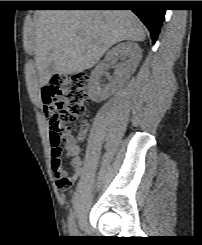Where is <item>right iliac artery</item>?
I'll return each mask as SVG.
<instances>
[{
	"label": "right iliac artery",
	"instance_id": "1",
	"mask_svg": "<svg viewBox=\"0 0 202 245\" xmlns=\"http://www.w3.org/2000/svg\"><path fill=\"white\" fill-rule=\"evenodd\" d=\"M75 214H76V210L75 209L71 210L70 215H69V220H68V229L70 231V234L73 236L77 235V230L75 228L76 227Z\"/></svg>",
	"mask_w": 202,
	"mask_h": 245
}]
</instances>
